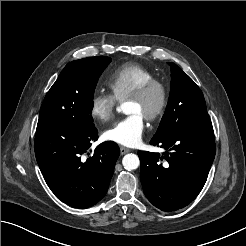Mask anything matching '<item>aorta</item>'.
Instances as JSON below:
<instances>
[{"mask_svg": "<svg viewBox=\"0 0 246 246\" xmlns=\"http://www.w3.org/2000/svg\"><path fill=\"white\" fill-rule=\"evenodd\" d=\"M128 105L129 103L121 104V106L117 108V111L129 114ZM122 164L126 170H135L139 167L140 161L137 155L131 153L123 157Z\"/></svg>", "mask_w": 246, "mask_h": 246, "instance_id": "762f6f07", "label": "aorta"}]
</instances>
